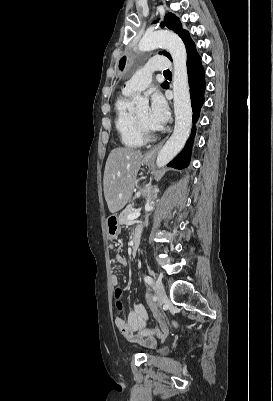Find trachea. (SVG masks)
<instances>
[{"instance_id":"obj_1","label":"trachea","mask_w":273,"mask_h":401,"mask_svg":"<svg viewBox=\"0 0 273 401\" xmlns=\"http://www.w3.org/2000/svg\"><path fill=\"white\" fill-rule=\"evenodd\" d=\"M164 73H171L170 70H164Z\"/></svg>"}]
</instances>
